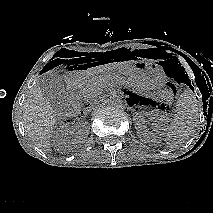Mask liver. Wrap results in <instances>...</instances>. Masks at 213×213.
Returning a JSON list of instances; mask_svg holds the SVG:
<instances>
[{
    "instance_id": "liver-1",
    "label": "liver",
    "mask_w": 213,
    "mask_h": 213,
    "mask_svg": "<svg viewBox=\"0 0 213 213\" xmlns=\"http://www.w3.org/2000/svg\"><path fill=\"white\" fill-rule=\"evenodd\" d=\"M127 63H113L97 67H92L83 72L85 77L97 76L99 74L111 73L120 69ZM53 71L47 72L52 74ZM102 81H98V86ZM57 114L48 100L42 95L39 84H35L28 94L23 104V123L25 131L35 146L49 152L50 138L55 129Z\"/></svg>"
}]
</instances>
